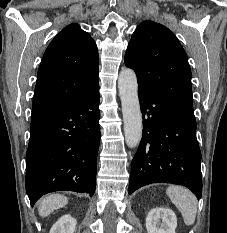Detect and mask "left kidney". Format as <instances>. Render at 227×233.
Instances as JSON below:
<instances>
[{
	"label": "left kidney",
	"mask_w": 227,
	"mask_h": 233,
	"mask_svg": "<svg viewBox=\"0 0 227 233\" xmlns=\"http://www.w3.org/2000/svg\"><path fill=\"white\" fill-rule=\"evenodd\" d=\"M176 227V215L169 208H153L147 214L146 229L148 233H176Z\"/></svg>",
	"instance_id": "1"
}]
</instances>
